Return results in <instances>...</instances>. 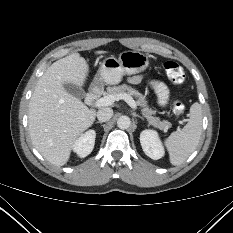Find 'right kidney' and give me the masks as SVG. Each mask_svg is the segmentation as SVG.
Instances as JSON below:
<instances>
[{"instance_id": "ca27d5eb", "label": "right kidney", "mask_w": 233, "mask_h": 233, "mask_svg": "<svg viewBox=\"0 0 233 233\" xmlns=\"http://www.w3.org/2000/svg\"><path fill=\"white\" fill-rule=\"evenodd\" d=\"M96 133L94 130H89L76 139L73 145V151L81 158L89 155L95 144Z\"/></svg>"}]
</instances>
